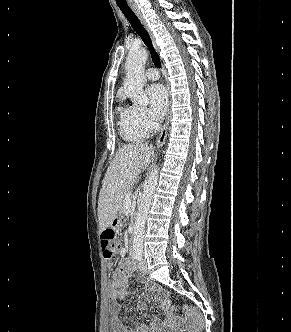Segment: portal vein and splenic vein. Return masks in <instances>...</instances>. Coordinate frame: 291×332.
I'll use <instances>...</instances> for the list:
<instances>
[{
	"instance_id": "portal-vein-and-splenic-vein-1",
	"label": "portal vein and splenic vein",
	"mask_w": 291,
	"mask_h": 332,
	"mask_svg": "<svg viewBox=\"0 0 291 332\" xmlns=\"http://www.w3.org/2000/svg\"><path fill=\"white\" fill-rule=\"evenodd\" d=\"M131 205V200H130V195L127 197V199L125 200V208H129Z\"/></svg>"
}]
</instances>
